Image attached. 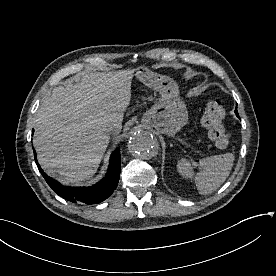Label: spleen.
<instances>
[{
  "instance_id": "1",
  "label": "spleen",
  "mask_w": 276,
  "mask_h": 276,
  "mask_svg": "<svg viewBox=\"0 0 276 276\" xmlns=\"http://www.w3.org/2000/svg\"><path fill=\"white\" fill-rule=\"evenodd\" d=\"M234 155L226 153L203 158L200 162L201 170L195 175L197 190L202 195L214 192L229 176L233 167ZM177 171L183 178L194 176L193 168L186 159L177 163Z\"/></svg>"
}]
</instances>
